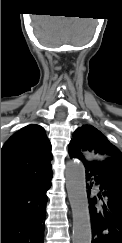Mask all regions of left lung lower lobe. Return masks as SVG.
<instances>
[{
  "instance_id": "obj_1",
  "label": "left lung lower lobe",
  "mask_w": 122,
  "mask_h": 243,
  "mask_svg": "<svg viewBox=\"0 0 122 243\" xmlns=\"http://www.w3.org/2000/svg\"><path fill=\"white\" fill-rule=\"evenodd\" d=\"M86 181L98 185L99 192L90 198L91 243H122V160H83ZM89 185L87 184V187ZM87 195L90 197L91 190Z\"/></svg>"
}]
</instances>
